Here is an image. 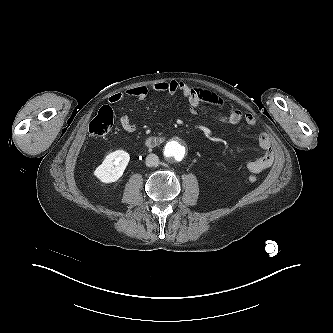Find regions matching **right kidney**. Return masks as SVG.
I'll list each match as a JSON object with an SVG mask.
<instances>
[{
	"mask_svg": "<svg viewBox=\"0 0 333 333\" xmlns=\"http://www.w3.org/2000/svg\"><path fill=\"white\" fill-rule=\"evenodd\" d=\"M130 156L123 150L114 151L106 156L101 165L94 171V175L103 183L117 181L124 173Z\"/></svg>",
	"mask_w": 333,
	"mask_h": 333,
	"instance_id": "1",
	"label": "right kidney"
}]
</instances>
